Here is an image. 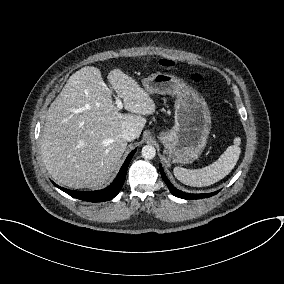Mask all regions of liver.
I'll return each mask as SVG.
<instances>
[{"mask_svg": "<svg viewBox=\"0 0 284 284\" xmlns=\"http://www.w3.org/2000/svg\"><path fill=\"white\" fill-rule=\"evenodd\" d=\"M123 99V114L96 67L85 66L70 76L48 108L40 139L43 162L50 175L70 188L98 189L108 183L127 147L122 133L133 128L139 137L145 116L155 103L135 79L120 69L107 76Z\"/></svg>", "mask_w": 284, "mask_h": 284, "instance_id": "liver-1", "label": "liver"}]
</instances>
